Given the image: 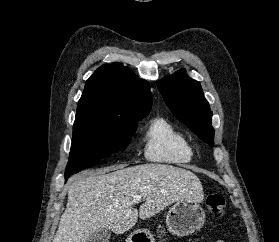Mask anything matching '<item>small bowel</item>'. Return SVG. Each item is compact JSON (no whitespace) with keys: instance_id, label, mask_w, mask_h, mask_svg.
Returning a JSON list of instances; mask_svg holds the SVG:
<instances>
[{"instance_id":"c3829d8e","label":"small bowel","mask_w":279,"mask_h":242,"mask_svg":"<svg viewBox=\"0 0 279 242\" xmlns=\"http://www.w3.org/2000/svg\"><path fill=\"white\" fill-rule=\"evenodd\" d=\"M216 242H225V241H223V240H218V241H216Z\"/></svg>"}]
</instances>
